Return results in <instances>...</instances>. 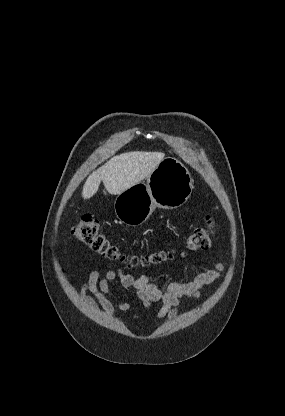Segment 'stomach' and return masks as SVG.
Returning <instances> with one entry per match:
<instances>
[{
    "label": "stomach",
    "mask_w": 285,
    "mask_h": 416,
    "mask_svg": "<svg viewBox=\"0 0 285 416\" xmlns=\"http://www.w3.org/2000/svg\"><path fill=\"white\" fill-rule=\"evenodd\" d=\"M193 180L184 164L176 158H164L146 184L140 182L118 194L115 214L127 226H140L150 218L155 208L175 210L190 198Z\"/></svg>",
    "instance_id": "0dacf381"
}]
</instances>
